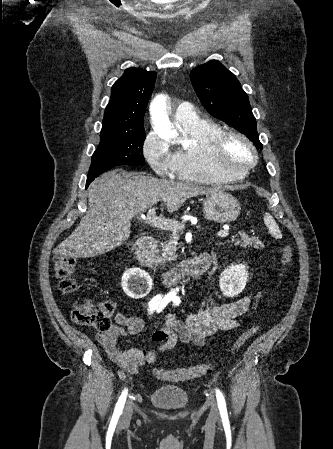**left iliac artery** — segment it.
I'll list each match as a JSON object with an SVG mask.
<instances>
[{"instance_id":"left-iliac-artery-1","label":"left iliac artery","mask_w":333,"mask_h":449,"mask_svg":"<svg viewBox=\"0 0 333 449\" xmlns=\"http://www.w3.org/2000/svg\"><path fill=\"white\" fill-rule=\"evenodd\" d=\"M216 398H217V404H218V408L220 410V414H221L222 418L227 419L226 402H225L222 392L219 389H216Z\"/></svg>"}]
</instances>
